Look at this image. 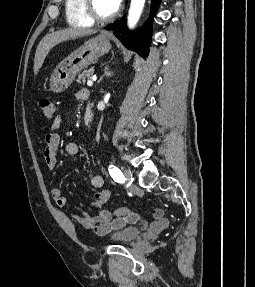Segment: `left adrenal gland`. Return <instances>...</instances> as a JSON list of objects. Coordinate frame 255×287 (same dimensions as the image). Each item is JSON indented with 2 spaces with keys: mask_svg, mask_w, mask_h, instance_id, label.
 Returning <instances> with one entry per match:
<instances>
[{
  "mask_svg": "<svg viewBox=\"0 0 255 287\" xmlns=\"http://www.w3.org/2000/svg\"><path fill=\"white\" fill-rule=\"evenodd\" d=\"M104 76H113L112 72H109V66H107V68H105ZM104 76H102V78H100L99 82H101V80H103Z\"/></svg>",
  "mask_w": 255,
  "mask_h": 287,
  "instance_id": "left-adrenal-gland-1",
  "label": "left adrenal gland"
}]
</instances>
